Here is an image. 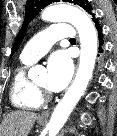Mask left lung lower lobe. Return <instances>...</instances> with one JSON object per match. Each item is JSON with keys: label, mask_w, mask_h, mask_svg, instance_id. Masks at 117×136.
<instances>
[{"label": "left lung lower lobe", "mask_w": 117, "mask_h": 136, "mask_svg": "<svg viewBox=\"0 0 117 136\" xmlns=\"http://www.w3.org/2000/svg\"><path fill=\"white\" fill-rule=\"evenodd\" d=\"M91 16H92V21L94 22V26L97 32V38L99 42L98 52L101 53V58H103L105 51H104V35L102 32V27L100 25L99 20L96 18L95 14H92ZM98 56L100 55L98 54Z\"/></svg>", "instance_id": "0a47b994"}]
</instances>
